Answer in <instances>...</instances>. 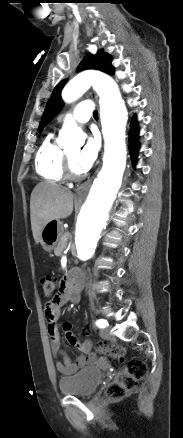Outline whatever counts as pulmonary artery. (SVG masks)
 Segmentation results:
<instances>
[{
  "mask_svg": "<svg viewBox=\"0 0 183 438\" xmlns=\"http://www.w3.org/2000/svg\"><path fill=\"white\" fill-rule=\"evenodd\" d=\"M93 112V104L90 100L80 102L73 110L72 117L77 123H86Z\"/></svg>",
  "mask_w": 183,
  "mask_h": 438,
  "instance_id": "1",
  "label": "pulmonary artery"
}]
</instances>
